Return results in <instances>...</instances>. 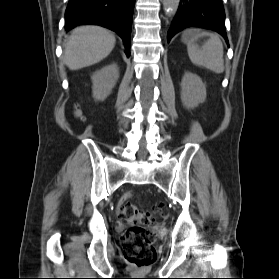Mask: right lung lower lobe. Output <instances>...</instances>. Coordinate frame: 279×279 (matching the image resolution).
Returning a JSON list of instances; mask_svg holds the SVG:
<instances>
[{"label":"right lung lower lobe","instance_id":"98d812e1","mask_svg":"<svg viewBox=\"0 0 279 279\" xmlns=\"http://www.w3.org/2000/svg\"><path fill=\"white\" fill-rule=\"evenodd\" d=\"M135 0H69L65 12L66 31L95 24L115 31L124 41L130 56V36Z\"/></svg>","mask_w":279,"mask_h":279}]
</instances>
